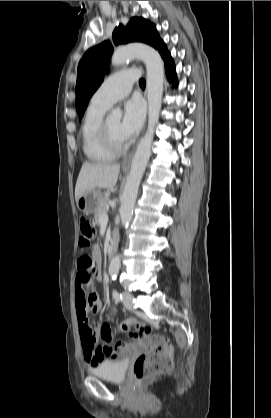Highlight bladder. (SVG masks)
Returning a JSON list of instances; mask_svg holds the SVG:
<instances>
[{"label": "bladder", "mask_w": 271, "mask_h": 418, "mask_svg": "<svg viewBox=\"0 0 271 418\" xmlns=\"http://www.w3.org/2000/svg\"><path fill=\"white\" fill-rule=\"evenodd\" d=\"M128 358L123 357L117 360H108L90 369V373L103 380L121 383L126 376L128 369Z\"/></svg>", "instance_id": "1"}]
</instances>
